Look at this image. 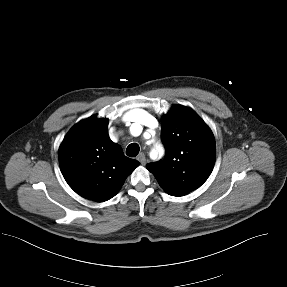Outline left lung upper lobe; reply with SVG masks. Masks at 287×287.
Masks as SVG:
<instances>
[{
    "label": "left lung upper lobe",
    "mask_w": 287,
    "mask_h": 287,
    "mask_svg": "<svg viewBox=\"0 0 287 287\" xmlns=\"http://www.w3.org/2000/svg\"><path fill=\"white\" fill-rule=\"evenodd\" d=\"M163 160L147 164L159 185L172 196L200 187L215 163V140L205 122L189 107L174 105L161 118Z\"/></svg>",
    "instance_id": "1"
}]
</instances>
